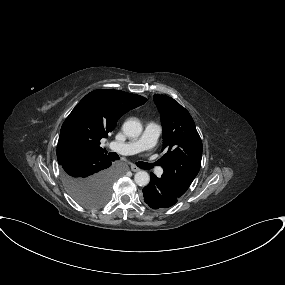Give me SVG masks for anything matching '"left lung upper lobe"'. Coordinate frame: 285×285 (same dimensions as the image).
<instances>
[{
	"mask_svg": "<svg viewBox=\"0 0 285 285\" xmlns=\"http://www.w3.org/2000/svg\"><path fill=\"white\" fill-rule=\"evenodd\" d=\"M163 127L160 159L164 174L187 190L197 176L202 158V142L189 112L171 97L155 94Z\"/></svg>",
	"mask_w": 285,
	"mask_h": 285,
	"instance_id": "left-lung-upper-lobe-1",
	"label": "left lung upper lobe"
}]
</instances>
